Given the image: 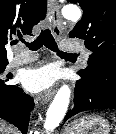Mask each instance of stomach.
<instances>
[{
  "label": "stomach",
  "mask_w": 116,
  "mask_h": 134,
  "mask_svg": "<svg viewBox=\"0 0 116 134\" xmlns=\"http://www.w3.org/2000/svg\"><path fill=\"white\" fill-rule=\"evenodd\" d=\"M110 125L100 116L89 115L70 123L65 134H109Z\"/></svg>",
  "instance_id": "obj_1"
}]
</instances>
